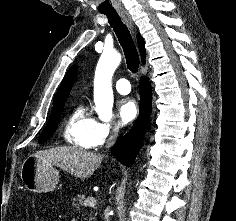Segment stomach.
Listing matches in <instances>:
<instances>
[{"instance_id": "0dacf381", "label": "stomach", "mask_w": 236, "mask_h": 221, "mask_svg": "<svg viewBox=\"0 0 236 221\" xmlns=\"http://www.w3.org/2000/svg\"><path fill=\"white\" fill-rule=\"evenodd\" d=\"M20 176L24 186L37 193L54 190L59 181V173L53 164L36 155H30L24 160Z\"/></svg>"}]
</instances>
